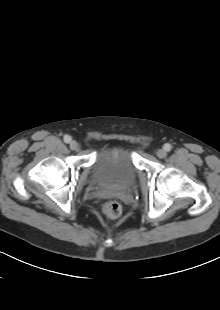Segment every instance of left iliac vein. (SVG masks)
Instances as JSON below:
<instances>
[{
  "label": "left iliac vein",
  "instance_id": "left-iliac-vein-1",
  "mask_svg": "<svg viewBox=\"0 0 220 310\" xmlns=\"http://www.w3.org/2000/svg\"><path fill=\"white\" fill-rule=\"evenodd\" d=\"M158 158H165L167 156V152L164 149H159L156 152Z\"/></svg>",
  "mask_w": 220,
  "mask_h": 310
}]
</instances>
